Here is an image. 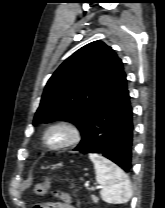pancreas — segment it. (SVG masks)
Returning <instances> with one entry per match:
<instances>
[{"mask_svg":"<svg viewBox=\"0 0 165 208\" xmlns=\"http://www.w3.org/2000/svg\"><path fill=\"white\" fill-rule=\"evenodd\" d=\"M92 199H93V202H94V203H97L98 200H99L98 197H96V196H94V195H92Z\"/></svg>","mask_w":165,"mask_h":208,"instance_id":"1","label":"pancreas"}]
</instances>
